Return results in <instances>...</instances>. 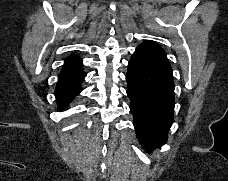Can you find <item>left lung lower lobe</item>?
Segmentation results:
<instances>
[{
	"mask_svg": "<svg viewBox=\"0 0 228 181\" xmlns=\"http://www.w3.org/2000/svg\"><path fill=\"white\" fill-rule=\"evenodd\" d=\"M126 80L136 134L151 152L167 141L174 120L173 75L164 50L152 41L139 45L129 61Z\"/></svg>",
	"mask_w": 228,
	"mask_h": 181,
	"instance_id": "obj_1",
	"label": "left lung lower lobe"
}]
</instances>
